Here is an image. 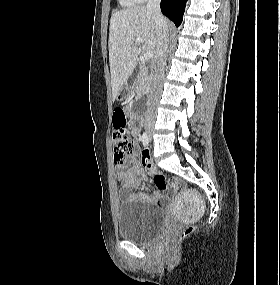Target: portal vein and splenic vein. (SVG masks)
<instances>
[{
	"mask_svg": "<svg viewBox=\"0 0 280 285\" xmlns=\"http://www.w3.org/2000/svg\"><path fill=\"white\" fill-rule=\"evenodd\" d=\"M144 41H143V39L141 38V37H137L136 39H135V43H137V44H141V43H143ZM151 58H153V52L152 51H146L145 53H144V59L145 60H150Z\"/></svg>",
	"mask_w": 280,
	"mask_h": 285,
	"instance_id": "obj_1",
	"label": "portal vein and splenic vein"
}]
</instances>
